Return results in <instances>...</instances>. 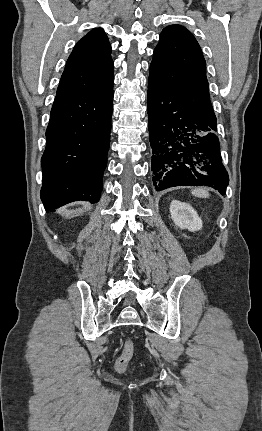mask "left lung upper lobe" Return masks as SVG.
I'll list each match as a JSON object with an SVG mask.
<instances>
[{
	"label": "left lung upper lobe",
	"mask_w": 262,
	"mask_h": 431,
	"mask_svg": "<svg viewBox=\"0 0 262 431\" xmlns=\"http://www.w3.org/2000/svg\"><path fill=\"white\" fill-rule=\"evenodd\" d=\"M148 81L164 87L216 122L209 98L206 63L199 44L183 26L163 29L154 50Z\"/></svg>",
	"instance_id": "left-lung-upper-lobe-1"
}]
</instances>
